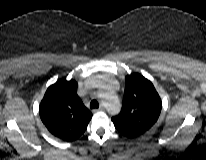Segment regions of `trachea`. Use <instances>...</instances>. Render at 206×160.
Masks as SVG:
<instances>
[{
	"instance_id": "3493384b",
	"label": "trachea",
	"mask_w": 206,
	"mask_h": 160,
	"mask_svg": "<svg viewBox=\"0 0 206 160\" xmlns=\"http://www.w3.org/2000/svg\"><path fill=\"white\" fill-rule=\"evenodd\" d=\"M98 107H99V103H98L97 100H92V101L90 102V108H91V109L98 108Z\"/></svg>"
}]
</instances>
